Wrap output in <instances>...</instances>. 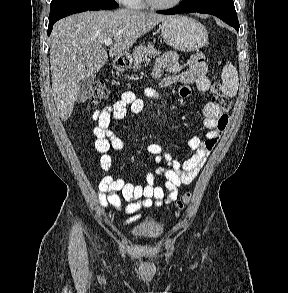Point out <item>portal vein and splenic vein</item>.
I'll list each match as a JSON object with an SVG mask.
<instances>
[{"mask_svg": "<svg viewBox=\"0 0 288 293\" xmlns=\"http://www.w3.org/2000/svg\"><path fill=\"white\" fill-rule=\"evenodd\" d=\"M105 46H110L112 44V39L108 38L104 41Z\"/></svg>", "mask_w": 288, "mask_h": 293, "instance_id": "portal-vein-and-splenic-vein-1", "label": "portal vein and splenic vein"}]
</instances>
